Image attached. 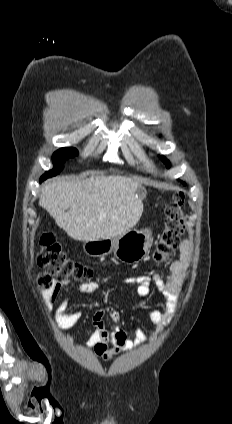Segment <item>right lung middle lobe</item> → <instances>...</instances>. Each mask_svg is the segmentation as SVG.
I'll return each instance as SVG.
<instances>
[{"mask_svg":"<svg viewBox=\"0 0 232 424\" xmlns=\"http://www.w3.org/2000/svg\"><path fill=\"white\" fill-rule=\"evenodd\" d=\"M77 154H78V151L72 147L61 148L58 151H56L52 157L54 162V169L46 172L40 179L45 180L48 177L58 174L63 168L62 164L64 163V161L67 158L73 157Z\"/></svg>","mask_w":232,"mask_h":424,"instance_id":"right-lung-middle-lobe-1","label":"right lung middle lobe"}]
</instances>
